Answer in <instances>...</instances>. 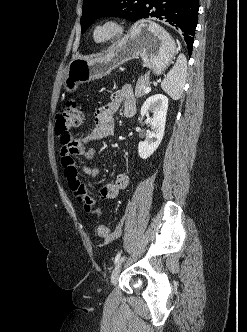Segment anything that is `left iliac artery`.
I'll return each mask as SVG.
<instances>
[{
  "label": "left iliac artery",
  "mask_w": 247,
  "mask_h": 332,
  "mask_svg": "<svg viewBox=\"0 0 247 332\" xmlns=\"http://www.w3.org/2000/svg\"><path fill=\"white\" fill-rule=\"evenodd\" d=\"M121 251L117 253V255L115 256V264L119 261L120 257H121Z\"/></svg>",
  "instance_id": "obj_1"
}]
</instances>
